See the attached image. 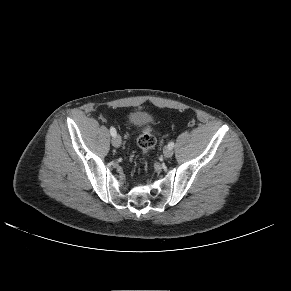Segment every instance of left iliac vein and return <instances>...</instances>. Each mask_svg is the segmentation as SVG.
I'll return each instance as SVG.
<instances>
[{"instance_id":"1","label":"left iliac vein","mask_w":291,"mask_h":291,"mask_svg":"<svg viewBox=\"0 0 291 291\" xmlns=\"http://www.w3.org/2000/svg\"><path fill=\"white\" fill-rule=\"evenodd\" d=\"M163 153L165 157L169 158L173 155V150L170 147H165Z\"/></svg>"}]
</instances>
